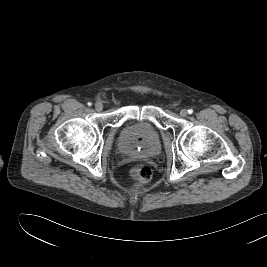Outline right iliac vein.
<instances>
[{"label": "right iliac vein", "instance_id": "obj_1", "mask_svg": "<svg viewBox=\"0 0 267 267\" xmlns=\"http://www.w3.org/2000/svg\"><path fill=\"white\" fill-rule=\"evenodd\" d=\"M95 109H96V111H98V112L102 111V109H103V104H102L101 102H96V103H95Z\"/></svg>", "mask_w": 267, "mask_h": 267}]
</instances>
